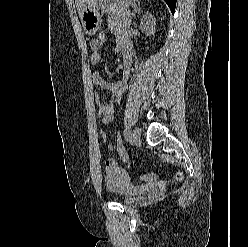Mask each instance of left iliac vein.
I'll use <instances>...</instances> for the list:
<instances>
[{
    "label": "left iliac vein",
    "mask_w": 248,
    "mask_h": 247,
    "mask_svg": "<svg viewBox=\"0 0 248 247\" xmlns=\"http://www.w3.org/2000/svg\"><path fill=\"white\" fill-rule=\"evenodd\" d=\"M132 136H133L134 141L138 142L141 136V128L138 126L134 127Z\"/></svg>",
    "instance_id": "4c4485c4"
}]
</instances>
